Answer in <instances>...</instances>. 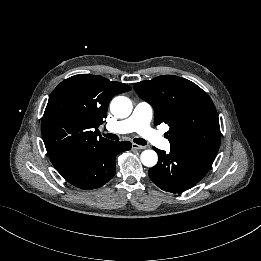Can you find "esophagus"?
<instances>
[{
    "mask_svg": "<svg viewBox=\"0 0 261 261\" xmlns=\"http://www.w3.org/2000/svg\"><path fill=\"white\" fill-rule=\"evenodd\" d=\"M146 146H139V145H136V144H132V149H145Z\"/></svg>",
    "mask_w": 261,
    "mask_h": 261,
    "instance_id": "34e87169",
    "label": "esophagus"
}]
</instances>
